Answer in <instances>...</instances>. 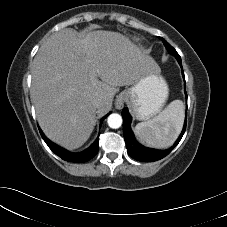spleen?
I'll return each instance as SVG.
<instances>
[{
    "label": "spleen",
    "mask_w": 227,
    "mask_h": 227,
    "mask_svg": "<svg viewBox=\"0 0 227 227\" xmlns=\"http://www.w3.org/2000/svg\"><path fill=\"white\" fill-rule=\"evenodd\" d=\"M184 121V105L181 100L171 102L158 116L138 123L134 132L139 141L154 148H167L178 137Z\"/></svg>",
    "instance_id": "spleen-1"
}]
</instances>
